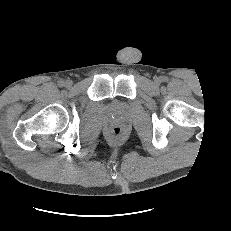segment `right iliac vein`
<instances>
[{
    "label": "right iliac vein",
    "mask_w": 231,
    "mask_h": 231,
    "mask_svg": "<svg viewBox=\"0 0 231 231\" xmlns=\"http://www.w3.org/2000/svg\"><path fill=\"white\" fill-rule=\"evenodd\" d=\"M71 85H72V82H71V81H66V82H65V86H66V87H71Z\"/></svg>",
    "instance_id": "obj_1"
}]
</instances>
